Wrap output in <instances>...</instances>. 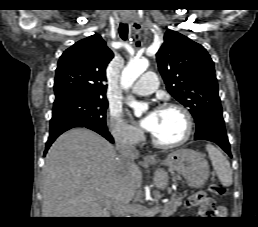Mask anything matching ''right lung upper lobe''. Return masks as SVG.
<instances>
[{
  "label": "right lung upper lobe",
  "instance_id": "cb5924a9",
  "mask_svg": "<svg viewBox=\"0 0 258 227\" xmlns=\"http://www.w3.org/2000/svg\"><path fill=\"white\" fill-rule=\"evenodd\" d=\"M113 57V52L98 34L78 41L58 61L55 94L75 92L106 97V67Z\"/></svg>",
  "mask_w": 258,
  "mask_h": 227
}]
</instances>
